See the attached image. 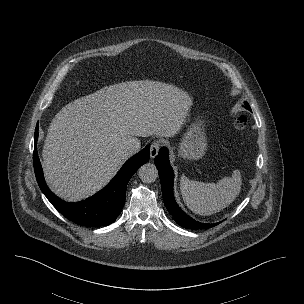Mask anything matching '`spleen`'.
<instances>
[{
    "label": "spleen",
    "instance_id": "spleen-1",
    "mask_svg": "<svg viewBox=\"0 0 304 304\" xmlns=\"http://www.w3.org/2000/svg\"><path fill=\"white\" fill-rule=\"evenodd\" d=\"M180 190L187 207L199 215L217 213L231 204L241 190L239 170L232 177H224L217 183H203L183 176Z\"/></svg>",
    "mask_w": 304,
    "mask_h": 304
}]
</instances>
